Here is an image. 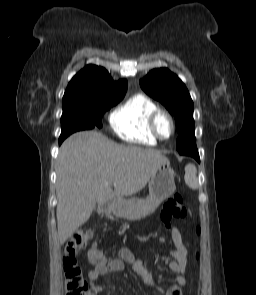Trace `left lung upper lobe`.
I'll return each instance as SVG.
<instances>
[{
    "label": "left lung upper lobe",
    "instance_id": "1",
    "mask_svg": "<svg viewBox=\"0 0 256 295\" xmlns=\"http://www.w3.org/2000/svg\"><path fill=\"white\" fill-rule=\"evenodd\" d=\"M144 91L160 101L175 116L178 131L176 149L182 155L196 147L193 101L184 83L166 68L154 69L140 81Z\"/></svg>",
    "mask_w": 256,
    "mask_h": 295
}]
</instances>
